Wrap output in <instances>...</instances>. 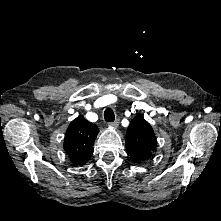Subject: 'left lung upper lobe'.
Listing matches in <instances>:
<instances>
[{
  "mask_svg": "<svg viewBox=\"0 0 221 221\" xmlns=\"http://www.w3.org/2000/svg\"><path fill=\"white\" fill-rule=\"evenodd\" d=\"M127 154L136 162L150 159L157 147L153 128L141 115H136L128 126L125 137Z\"/></svg>",
  "mask_w": 221,
  "mask_h": 221,
  "instance_id": "5c2ea615",
  "label": "left lung upper lobe"
}]
</instances>
